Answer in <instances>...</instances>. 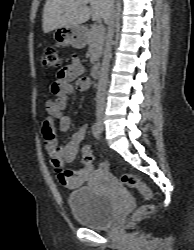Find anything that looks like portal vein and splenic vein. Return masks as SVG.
I'll return each instance as SVG.
<instances>
[{
  "label": "portal vein and splenic vein",
  "mask_w": 194,
  "mask_h": 250,
  "mask_svg": "<svg viewBox=\"0 0 194 250\" xmlns=\"http://www.w3.org/2000/svg\"><path fill=\"white\" fill-rule=\"evenodd\" d=\"M97 28H102V26H101V25H98Z\"/></svg>",
  "instance_id": "obj_1"
}]
</instances>
